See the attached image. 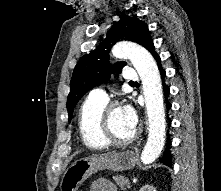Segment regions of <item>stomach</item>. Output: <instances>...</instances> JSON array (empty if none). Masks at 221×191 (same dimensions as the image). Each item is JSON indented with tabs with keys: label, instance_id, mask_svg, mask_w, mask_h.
<instances>
[{
	"label": "stomach",
	"instance_id": "0dacf381",
	"mask_svg": "<svg viewBox=\"0 0 221 191\" xmlns=\"http://www.w3.org/2000/svg\"><path fill=\"white\" fill-rule=\"evenodd\" d=\"M136 163V155L131 150L79 159L65 171L60 191H77L89 176L100 170L121 172L134 168Z\"/></svg>",
	"mask_w": 221,
	"mask_h": 191
}]
</instances>
